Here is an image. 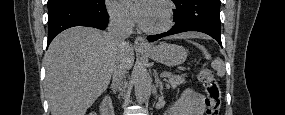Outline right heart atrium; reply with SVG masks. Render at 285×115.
Listing matches in <instances>:
<instances>
[{
    "label": "right heart atrium",
    "mask_w": 285,
    "mask_h": 115,
    "mask_svg": "<svg viewBox=\"0 0 285 115\" xmlns=\"http://www.w3.org/2000/svg\"><path fill=\"white\" fill-rule=\"evenodd\" d=\"M107 9L114 23L125 27L132 25L133 20L130 13L118 2L108 1Z\"/></svg>",
    "instance_id": "1"
}]
</instances>
